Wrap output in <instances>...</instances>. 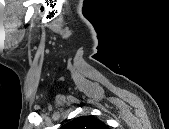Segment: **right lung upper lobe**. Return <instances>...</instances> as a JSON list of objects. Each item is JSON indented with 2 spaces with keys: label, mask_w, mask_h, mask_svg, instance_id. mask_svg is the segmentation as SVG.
<instances>
[{
  "label": "right lung upper lobe",
  "mask_w": 169,
  "mask_h": 129,
  "mask_svg": "<svg viewBox=\"0 0 169 129\" xmlns=\"http://www.w3.org/2000/svg\"><path fill=\"white\" fill-rule=\"evenodd\" d=\"M63 129H106V125L91 116H81L66 123Z\"/></svg>",
  "instance_id": "cb5924a9"
}]
</instances>
